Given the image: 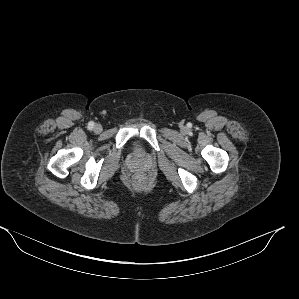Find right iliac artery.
<instances>
[{
  "label": "right iliac artery",
  "mask_w": 299,
  "mask_h": 299,
  "mask_svg": "<svg viewBox=\"0 0 299 299\" xmlns=\"http://www.w3.org/2000/svg\"><path fill=\"white\" fill-rule=\"evenodd\" d=\"M93 126H94V123H93V122H89V123H88V127H89V128H93Z\"/></svg>",
  "instance_id": "right-iliac-artery-1"
}]
</instances>
